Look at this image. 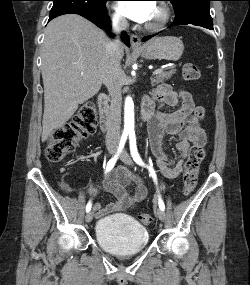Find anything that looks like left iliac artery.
Returning a JSON list of instances; mask_svg holds the SVG:
<instances>
[{
  "label": "left iliac artery",
  "instance_id": "44dca946",
  "mask_svg": "<svg viewBox=\"0 0 250 285\" xmlns=\"http://www.w3.org/2000/svg\"><path fill=\"white\" fill-rule=\"evenodd\" d=\"M129 143H130V152H131V156L133 158V160L140 166H145L144 162L142 161L139 153H138V150H137V146H136V137H135V134L134 133H130L129 134ZM150 172V175L152 176L155 184L157 185V176H156V173L154 171V169L150 166H146ZM158 204H159V208L161 210H165V205H164V202L163 200L161 199V197L159 196V199H158Z\"/></svg>",
  "mask_w": 250,
  "mask_h": 285
}]
</instances>
